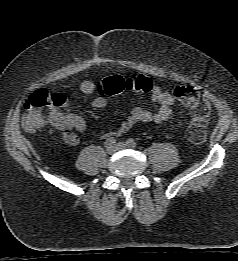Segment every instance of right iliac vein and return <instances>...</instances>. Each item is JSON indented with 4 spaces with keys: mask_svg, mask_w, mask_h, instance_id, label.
<instances>
[{
    "mask_svg": "<svg viewBox=\"0 0 238 261\" xmlns=\"http://www.w3.org/2000/svg\"><path fill=\"white\" fill-rule=\"evenodd\" d=\"M116 150H117V148H116V146H110V147H108L107 149H106V151H107V153L108 154H114L115 152H116Z\"/></svg>",
    "mask_w": 238,
    "mask_h": 261,
    "instance_id": "1",
    "label": "right iliac vein"
}]
</instances>
